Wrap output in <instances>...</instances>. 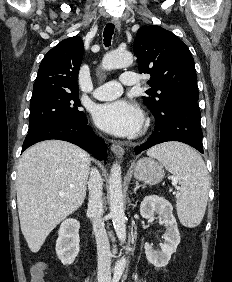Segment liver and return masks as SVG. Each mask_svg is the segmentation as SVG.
Here are the masks:
<instances>
[{
	"label": "liver",
	"mask_w": 232,
	"mask_h": 282,
	"mask_svg": "<svg viewBox=\"0 0 232 282\" xmlns=\"http://www.w3.org/2000/svg\"><path fill=\"white\" fill-rule=\"evenodd\" d=\"M90 165L89 154L61 140L39 142L22 154L17 205L32 252H38L49 233L84 202Z\"/></svg>",
	"instance_id": "liver-1"
}]
</instances>
